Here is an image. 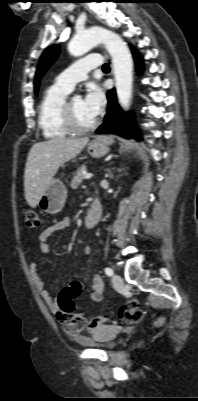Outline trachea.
Returning a JSON list of instances; mask_svg holds the SVG:
<instances>
[{
	"mask_svg": "<svg viewBox=\"0 0 198 401\" xmlns=\"http://www.w3.org/2000/svg\"><path fill=\"white\" fill-rule=\"evenodd\" d=\"M103 70H104V71L110 70L109 65L105 63V64L103 65Z\"/></svg>",
	"mask_w": 198,
	"mask_h": 401,
	"instance_id": "trachea-1",
	"label": "trachea"
}]
</instances>
